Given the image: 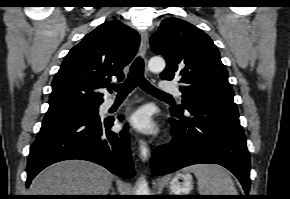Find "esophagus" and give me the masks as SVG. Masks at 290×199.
<instances>
[{"mask_svg": "<svg viewBox=\"0 0 290 199\" xmlns=\"http://www.w3.org/2000/svg\"><path fill=\"white\" fill-rule=\"evenodd\" d=\"M141 35V43H140V54L141 56H145L148 47V34L145 31L140 33ZM139 156L143 162H146L150 157V148L147 143L143 139H139Z\"/></svg>", "mask_w": 290, "mask_h": 199, "instance_id": "34e87169", "label": "esophagus"}]
</instances>
